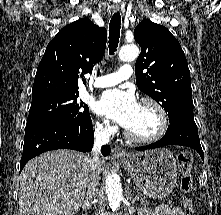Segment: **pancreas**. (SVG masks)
I'll return each mask as SVG.
<instances>
[{"label": "pancreas", "instance_id": "pancreas-1", "mask_svg": "<svg viewBox=\"0 0 221 215\" xmlns=\"http://www.w3.org/2000/svg\"><path fill=\"white\" fill-rule=\"evenodd\" d=\"M139 197L138 201L140 202L141 205L146 206L149 205V200L147 197L143 196L142 194L137 195Z\"/></svg>", "mask_w": 221, "mask_h": 215}]
</instances>
